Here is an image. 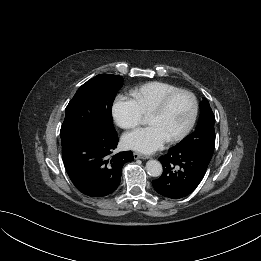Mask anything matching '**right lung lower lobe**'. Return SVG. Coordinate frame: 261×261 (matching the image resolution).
Returning <instances> with one entry per match:
<instances>
[{
    "label": "right lung lower lobe",
    "instance_id": "obj_1",
    "mask_svg": "<svg viewBox=\"0 0 261 261\" xmlns=\"http://www.w3.org/2000/svg\"><path fill=\"white\" fill-rule=\"evenodd\" d=\"M117 144L116 132L80 134L62 143L65 169L81 193L104 197L118 188L123 165L134 157L131 151L111 155Z\"/></svg>",
    "mask_w": 261,
    "mask_h": 261
}]
</instances>
